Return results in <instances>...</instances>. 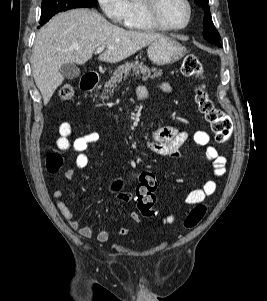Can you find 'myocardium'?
<instances>
[{
    "mask_svg": "<svg viewBox=\"0 0 267 301\" xmlns=\"http://www.w3.org/2000/svg\"><path fill=\"white\" fill-rule=\"evenodd\" d=\"M187 9V18L181 25H169L167 24L160 15V6L162 0H142V7L147 19L156 27L166 31H179L186 28L192 18V6L189 0H183Z\"/></svg>",
    "mask_w": 267,
    "mask_h": 301,
    "instance_id": "1",
    "label": "myocardium"
}]
</instances>
